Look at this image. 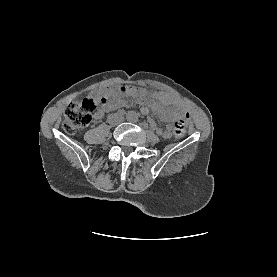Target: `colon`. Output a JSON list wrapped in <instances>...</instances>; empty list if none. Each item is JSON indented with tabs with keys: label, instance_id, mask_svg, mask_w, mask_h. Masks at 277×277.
Here are the masks:
<instances>
[{
	"label": "colon",
	"instance_id": "1",
	"mask_svg": "<svg viewBox=\"0 0 277 277\" xmlns=\"http://www.w3.org/2000/svg\"><path fill=\"white\" fill-rule=\"evenodd\" d=\"M124 95L127 94L126 88L122 89ZM108 99L100 97L98 99L80 98L72 102L64 115L63 129L67 133H75L76 131L86 127L97 108L105 107ZM173 136L175 139H181L186 133V125L182 119H178L173 124Z\"/></svg>",
	"mask_w": 277,
	"mask_h": 277
}]
</instances>
